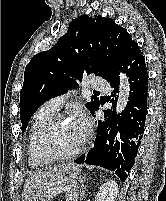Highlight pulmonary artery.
I'll list each match as a JSON object with an SVG mask.
<instances>
[{"instance_id":"1","label":"pulmonary artery","mask_w":166,"mask_h":201,"mask_svg":"<svg viewBox=\"0 0 166 201\" xmlns=\"http://www.w3.org/2000/svg\"><path fill=\"white\" fill-rule=\"evenodd\" d=\"M89 84L92 88L99 89V90H106L108 88V83L99 78L91 79ZM66 98H67L66 96H59V97L52 98L45 103L44 107L55 112L62 106Z\"/></svg>"}]
</instances>
